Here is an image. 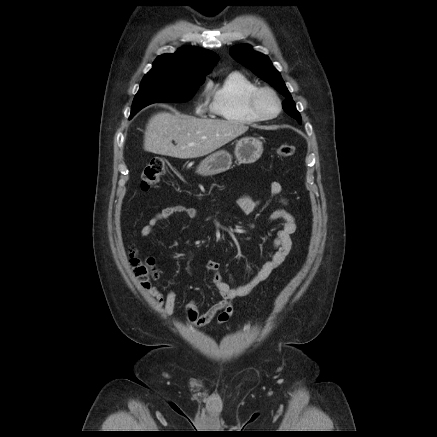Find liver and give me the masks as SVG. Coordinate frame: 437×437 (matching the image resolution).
<instances>
[{
	"label": "liver",
	"instance_id": "obj_1",
	"mask_svg": "<svg viewBox=\"0 0 437 437\" xmlns=\"http://www.w3.org/2000/svg\"><path fill=\"white\" fill-rule=\"evenodd\" d=\"M248 129V126L231 121L160 112L148 121L144 150L181 159L198 158L222 147Z\"/></svg>",
	"mask_w": 437,
	"mask_h": 437
}]
</instances>
